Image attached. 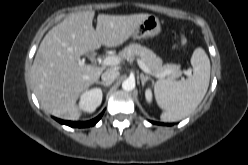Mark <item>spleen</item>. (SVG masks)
<instances>
[{
  "mask_svg": "<svg viewBox=\"0 0 248 165\" xmlns=\"http://www.w3.org/2000/svg\"><path fill=\"white\" fill-rule=\"evenodd\" d=\"M193 76L186 80H158L154 85L155 98L163 110V122H174L190 115L203 100L210 81V60L202 48L191 57Z\"/></svg>",
  "mask_w": 248,
  "mask_h": 165,
  "instance_id": "3e777b00",
  "label": "spleen"
}]
</instances>
